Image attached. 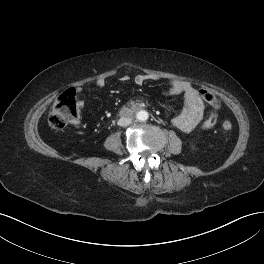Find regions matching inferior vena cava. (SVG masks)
I'll return each instance as SVG.
<instances>
[{"mask_svg":"<svg viewBox=\"0 0 264 264\" xmlns=\"http://www.w3.org/2000/svg\"><path fill=\"white\" fill-rule=\"evenodd\" d=\"M131 122H132L131 118H129V117H121L117 124L119 126L125 127V126H128L129 124H131Z\"/></svg>","mask_w":264,"mask_h":264,"instance_id":"1","label":"inferior vena cava"}]
</instances>
